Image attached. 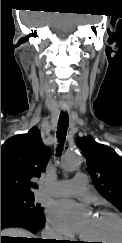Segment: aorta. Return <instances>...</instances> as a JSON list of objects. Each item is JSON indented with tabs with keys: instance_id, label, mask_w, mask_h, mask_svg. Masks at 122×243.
I'll use <instances>...</instances> for the list:
<instances>
[{
	"instance_id": "aorta-1",
	"label": "aorta",
	"mask_w": 122,
	"mask_h": 243,
	"mask_svg": "<svg viewBox=\"0 0 122 243\" xmlns=\"http://www.w3.org/2000/svg\"><path fill=\"white\" fill-rule=\"evenodd\" d=\"M81 164L80 154L74 151H68L62 158V168L65 172H73L79 168Z\"/></svg>"
}]
</instances>
